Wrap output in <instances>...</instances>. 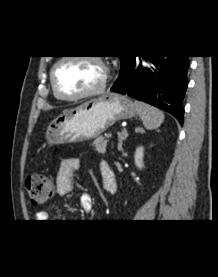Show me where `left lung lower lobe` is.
<instances>
[{
  "instance_id": "obj_1",
  "label": "left lung lower lobe",
  "mask_w": 218,
  "mask_h": 277,
  "mask_svg": "<svg viewBox=\"0 0 218 277\" xmlns=\"http://www.w3.org/2000/svg\"><path fill=\"white\" fill-rule=\"evenodd\" d=\"M142 58L148 65L142 66L138 56H133L121 70L111 91L127 94L163 109L183 123V98L188 85V56Z\"/></svg>"
}]
</instances>
